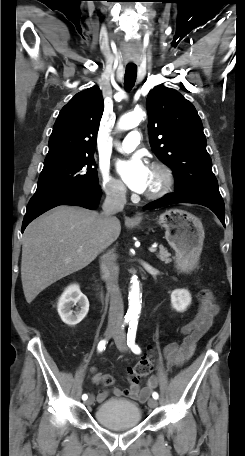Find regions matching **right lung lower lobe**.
<instances>
[{"mask_svg":"<svg viewBox=\"0 0 245 456\" xmlns=\"http://www.w3.org/2000/svg\"><path fill=\"white\" fill-rule=\"evenodd\" d=\"M100 195V187H95L86 190H68L42 196H33L27 206L22 224V232L33 219L58 205H77L88 209H95Z\"/></svg>","mask_w":245,"mask_h":456,"instance_id":"98d812e1","label":"right lung lower lobe"}]
</instances>
